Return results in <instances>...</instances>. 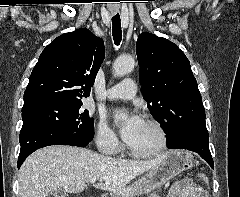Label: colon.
Returning a JSON list of instances; mask_svg holds the SVG:
<instances>
[{"label":"colon","mask_w":240,"mask_h":197,"mask_svg":"<svg viewBox=\"0 0 240 197\" xmlns=\"http://www.w3.org/2000/svg\"><path fill=\"white\" fill-rule=\"evenodd\" d=\"M198 178H199L202 182L208 183V177H207L205 174H203V173L198 174Z\"/></svg>","instance_id":"colon-1"}]
</instances>
